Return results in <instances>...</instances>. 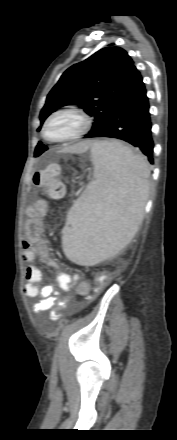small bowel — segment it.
<instances>
[{"label": "small bowel", "instance_id": "c3829d8e", "mask_svg": "<svg viewBox=\"0 0 177 440\" xmlns=\"http://www.w3.org/2000/svg\"><path fill=\"white\" fill-rule=\"evenodd\" d=\"M49 205L43 200H38L26 209L28 220L26 222V239L22 243V258L27 263L25 269L26 284L24 293L29 298H39L33 305L35 314L63 307L71 299V295L60 297V291H70L75 288L78 296H87L90 292V284L82 279L79 273L68 274L60 269L53 259L46 242L42 238L43 219L48 215ZM38 260L43 265L54 270L56 284L40 286L42 281L41 270L33 264ZM59 313L52 311L51 318L57 320Z\"/></svg>", "mask_w": 177, "mask_h": 440}]
</instances>
